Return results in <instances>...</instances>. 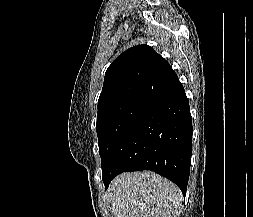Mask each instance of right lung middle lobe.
<instances>
[{
  "label": "right lung middle lobe",
  "instance_id": "obj_1",
  "mask_svg": "<svg viewBox=\"0 0 253 217\" xmlns=\"http://www.w3.org/2000/svg\"><path fill=\"white\" fill-rule=\"evenodd\" d=\"M150 101L144 99H126L106 106L98 111L96 131L102 173L113 148L121 135Z\"/></svg>",
  "mask_w": 253,
  "mask_h": 217
}]
</instances>
